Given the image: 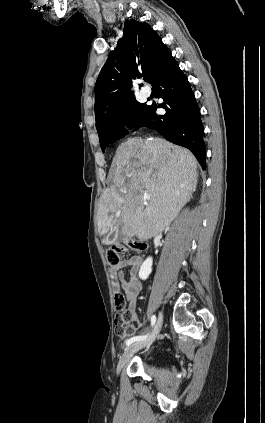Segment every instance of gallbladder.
Wrapping results in <instances>:
<instances>
[{
	"instance_id": "1",
	"label": "gallbladder",
	"mask_w": 265,
	"mask_h": 423,
	"mask_svg": "<svg viewBox=\"0 0 265 423\" xmlns=\"http://www.w3.org/2000/svg\"><path fill=\"white\" fill-rule=\"evenodd\" d=\"M117 226L109 233V235L103 239V243L106 245L112 244L117 239Z\"/></svg>"
}]
</instances>
